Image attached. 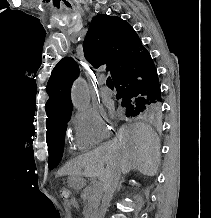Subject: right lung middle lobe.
I'll use <instances>...</instances> for the list:
<instances>
[{
  "instance_id": "right-lung-middle-lobe-1",
  "label": "right lung middle lobe",
  "mask_w": 211,
  "mask_h": 218,
  "mask_svg": "<svg viewBox=\"0 0 211 218\" xmlns=\"http://www.w3.org/2000/svg\"><path fill=\"white\" fill-rule=\"evenodd\" d=\"M121 99V106L126 109L127 117L137 116L140 113H157L161 110L162 100L150 102L139 98H117ZM71 113L62 117L54 124L50 133L47 134L46 140L49 150V169L55 168L61 158L64 149L65 131Z\"/></svg>"
}]
</instances>
